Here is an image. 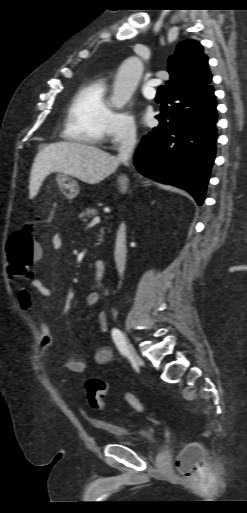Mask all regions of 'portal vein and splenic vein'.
<instances>
[{
  "label": "portal vein and splenic vein",
  "instance_id": "1",
  "mask_svg": "<svg viewBox=\"0 0 247 513\" xmlns=\"http://www.w3.org/2000/svg\"><path fill=\"white\" fill-rule=\"evenodd\" d=\"M100 222V217L99 216H95L92 221L90 222V225H95L97 223Z\"/></svg>",
  "mask_w": 247,
  "mask_h": 513
}]
</instances>
